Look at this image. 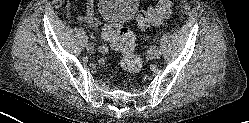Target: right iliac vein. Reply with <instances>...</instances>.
I'll list each match as a JSON object with an SVG mask.
<instances>
[{
    "instance_id": "1",
    "label": "right iliac vein",
    "mask_w": 249,
    "mask_h": 123,
    "mask_svg": "<svg viewBox=\"0 0 249 123\" xmlns=\"http://www.w3.org/2000/svg\"><path fill=\"white\" fill-rule=\"evenodd\" d=\"M86 49L88 52L93 53L95 50V47L93 44L89 43V44H87Z\"/></svg>"
}]
</instances>
